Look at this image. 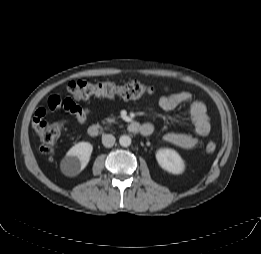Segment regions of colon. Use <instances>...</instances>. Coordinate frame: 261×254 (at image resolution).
<instances>
[{"mask_svg":"<svg viewBox=\"0 0 261 254\" xmlns=\"http://www.w3.org/2000/svg\"><path fill=\"white\" fill-rule=\"evenodd\" d=\"M68 92L71 96L64 101L67 103H73V101L86 100L93 96L99 97H115L119 96L127 100H135L143 97H147L154 94V89L148 87L140 82L134 81L123 85H116L111 82H89L86 80L73 81L68 86ZM61 99L57 96H52L48 100V104L52 108H57L61 104ZM39 114L43 113V110L38 111ZM64 121H57L52 124H46L40 121L36 125L38 136L41 142V151L45 154H49L53 150V146L60 137L62 131L65 128ZM216 144L214 142H208L205 150L207 153H214L216 151Z\"/></svg>","mask_w":261,"mask_h":254,"instance_id":"obj_1","label":"colon"}]
</instances>
